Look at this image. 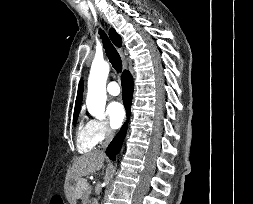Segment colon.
<instances>
[{
  "label": "colon",
  "instance_id": "1",
  "mask_svg": "<svg viewBox=\"0 0 253 204\" xmlns=\"http://www.w3.org/2000/svg\"><path fill=\"white\" fill-rule=\"evenodd\" d=\"M51 204H63L61 201H58L57 199L53 198L51 201Z\"/></svg>",
  "mask_w": 253,
  "mask_h": 204
}]
</instances>
